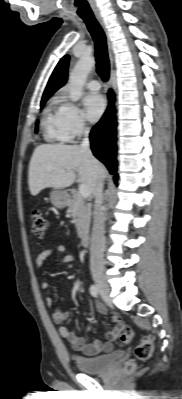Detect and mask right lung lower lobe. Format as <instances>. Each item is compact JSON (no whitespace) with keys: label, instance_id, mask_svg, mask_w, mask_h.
I'll use <instances>...</instances> for the list:
<instances>
[{"label":"right lung lower lobe","instance_id":"right-lung-lower-lobe-1","mask_svg":"<svg viewBox=\"0 0 182 399\" xmlns=\"http://www.w3.org/2000/svg\"><path fill=\"white\" fill-rule=\"evenodd\" d=\"M110 105L101 120L90 133L91 149L94 155L103 162L111 174L116 172V117L113 107L114 94L108 93ZM118 176H114L115 182Z\"/></svg>","mask_w":182,"mask_h":399}]
</instances>
